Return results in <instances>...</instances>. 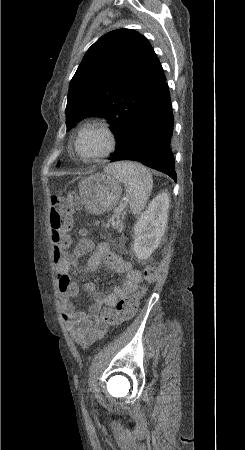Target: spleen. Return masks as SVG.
<instances>
[{"label":"spleen","mask_w":245,"mask_h":450,"mask_svg":"<svg viewBox=\"0 0 245 450\" xmlns=\"http://www.w3.org/2000/svg\"><path fill=\"white\" fill-rule=\"evenodd\" d=\"M128 189L130 210L139 214L145 208L152 191V176L145 166L133 162H118L105 168Z\"/></svg>","instance_id":"1"}]
</instances>
